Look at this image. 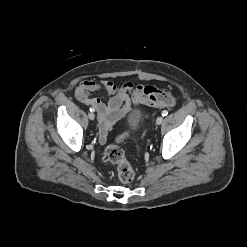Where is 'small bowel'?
I'll return each mask as SVG.
<instances>
[{"label": "small bowel", "instance_id": "1", "mask_svg": "<svg viewBox=\"0 0 247 247\" xmlns=\"http://www.w3.org/2000/svg\"><path fill=\"white\" fill-rule=\"evenodd\" d=\"M103 90L108 100L93 97L92 93ZM76 98L81 103L92 106L99 117L100 141L105 142L112 126L133 106L143 104L148 107L165 108L175 105L173 94L163 88L152 85L126 82L117 86L112 81H82L76 89Z\"/></svg>", "mask_w": 247, "mask_h": 247}]
</instances>
